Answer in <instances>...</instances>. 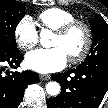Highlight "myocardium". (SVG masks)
<instances>
[{"label": "myocardium", "mask_w": 108, "mask_h": 108, "mask_svg": "<svg viewBox=\"0 0 108 108\" xmlns=\"http://www.w3.org/2000/svg\"><path fill=\"white\" fill-rule=\"evenodd\" d=\"M76 28H80L83 30L85 34V43L79 53L69 57V61L72 64L82 62L89 54L91 47H92V43H93L92 30L87 23L81 20H73L55 30L56 35L64 37V36H67L69 33H71Z\"/></svg>", "instance_id": "myocardium-1"}]
</instances>
